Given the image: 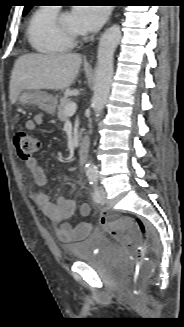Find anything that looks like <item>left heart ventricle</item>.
Wrapping results in <instances>:
<instances>
[{"mask_svg":"<svg viewBox=\"0 0 184 327\" xmlns=\"http://www.w3.org/2000/svg\"><path fill=\"white\" fill-rule=\"evenodd\" d=\"M63 22L67 29L75 32H79L75 18L71 12H65L63 16Z\"/></svg>","mask_w":184,"mask_h":327,"instance_id":"1","label":"left heart ventricle"}]
</instances>
